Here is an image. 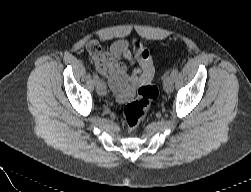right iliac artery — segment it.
Segmentation results:
<instances>
[{"instance_id": "1", "label": "right iliac artery", "mask_w": 251, "mask_h": 192, "mask_svg": "<svg viewBox=\"0 0 251 192\" xmlns=\"http://www.w3.org/2000/svg\"><path fill=\"white\" fill-rule=\"evenodd\" d=\"M93 81L96 85L100 82L99 76L96 73H93Z\"/></svg>"}]
</instances>
